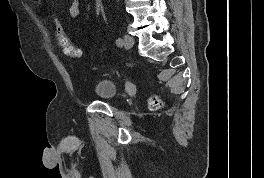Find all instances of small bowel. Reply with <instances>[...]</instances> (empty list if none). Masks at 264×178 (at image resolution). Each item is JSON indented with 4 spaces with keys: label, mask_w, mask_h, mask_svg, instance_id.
Instances as JSON below:
<instances>
[{
    "label": "small bowel",
    "mask_w": 264,
    "mask_h": 178,
    "mask_svg": "<svg viewBox=\"0 0 264 178\" xmlns=\"http://www.w3.org/2000/svg\"><path fill=\"white\" fill-rule=\"evenodd\" d=\"M68 13L72 19H76L80 15V0H71Z\"/></svg>",
    "instance_id": "small-bowel-1"
}]
</instances>
